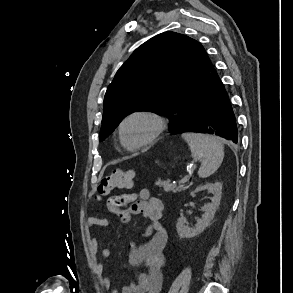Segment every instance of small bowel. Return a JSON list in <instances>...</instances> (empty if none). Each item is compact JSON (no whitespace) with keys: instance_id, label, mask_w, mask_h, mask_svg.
I'll use <instances>...</instances> for the list:
<instances>
[{"instance_id":"1","label":"small bowel","mask_w":293,"mask_h":293,"mask_svg":"<svg viewBox=\"0 0 293 293\" xmlns=\"http://www.w3.org/2000/svg\"><path fill=\"white\" fill-rule=\"evenodd\" d=\"M127 206H129L127 208ZM109 212L119 217L123 224L131 220L132 215H141L147 220V226L140 241L130 243L129 265L136 269L137 279L121 289L114 288L111 293H160L163 284V268L165 264L164 249L167 244V233L161 225L163 203L151 196L147 189L139 192L122 193L111 196L107 201ZM91 228L107 227L110 222L99 217L88 218ZM99 242L95 235L90 239V251L96 255ZM104 258L112 255L109 247L101 250ZM106 287L111 286L108 278L103 280Z\"/></svg>"}]
</instances>
